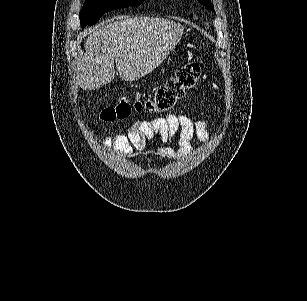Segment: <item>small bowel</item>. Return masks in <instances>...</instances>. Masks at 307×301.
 Returning <instances> with one entry per match:
<instances>
[{"label": "small bowel", "mask_w": 307, "mask_h": 301, "mask_svg": "<svg viewBox=\"0 0 307 301\" xmlns=\"http://www.w3.org/2000/svg\"><path fill=\"white\" fill-rule=\"evenodd\" d=\"M193 108H199L194 106ZM159 138L162 143L176 139L177 148L161 147L155 154L167 160L184 159L191 153V141L197 138L201 142L210 141L209 123L205 119L194 120L185 114H169L153 120H137L125 133L102 140L103 145H112L124 156H131L134 151H142L146 142Z\"/></svg>", "instance_id": "1"}]
</instances>
